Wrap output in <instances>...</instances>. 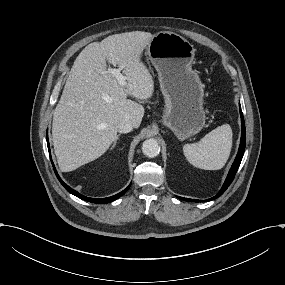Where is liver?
I'll return each instance as SVG.
<instances>
[{
  "instance_id": "liver-1",
  "label": "liver",
  "mask_w": 285,
  "mask_h": 285,
  "mask_svg": "<svg viewBox=\"0 0 285 285\" xmlns=\"http://www.w3.org/2000/svg\"><path fill=\"white\" fill-rule=\"evenodd\" d=\"M153 35L132 31L88 44L77 56L53 113L54 152L62 172H69L103 155L115 141L117 124L138 128L144 107L140 100L154 92L153 78L141 55ZM106 61L123 67L127 85L120 86Z\"/></svg>"
}]
</instances>
